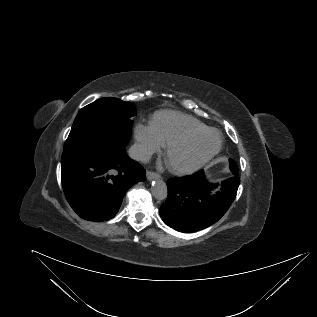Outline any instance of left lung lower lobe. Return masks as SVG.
<instances>
[{
  "mask_svg": "<svg viewBox=\"0 0 317 317\" xmlns=\"http://www.w3.org/2000/svg\"><path fill=\"white\" fill-rule=\"evenodd\" d=\"M218 184L206 181L203 170L167 181L168 197L160 207L164 223L180 232H195L217 222L234 201L240 183L238 170Z\"/></svg>",
  "mask_w": 317,
  "mask_h": 317,
  "instance_id": "0a47b994",
  "label": "left lung lower lobe"
}]
</instances>
